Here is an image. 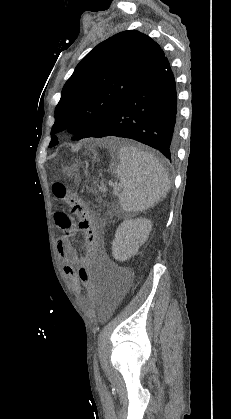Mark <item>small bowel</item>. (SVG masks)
<instances>
[{"instance_id": "obj_1", "label": "small bowel", "mask_w": 231, "mask_h": 419, "mask_svg": "<svg viewBox=\"0 0 231 419\" xmlns=\"http://www.w3.org/2000/svg\"><path fill=\"white\" fill-rule=\"evenodd\" d=\"M55 220L58 232L64 233L57 240V250L64 262L63 271L65 276L73 282L75 291L80 295L82 286L77 279L78 270L75 266L80 264L81 258L78 257L73 246V236L78 232V229L73 222L71 213L58 212L56 213ZM106 260V253L103 250H100L99 257L95 261L97 264H100ZM126 290L127 284L123 282L121 278H113L103 285L102 297L104 314L108 315L114 311L124 299Z\"/></svg>"}]
</instances>
